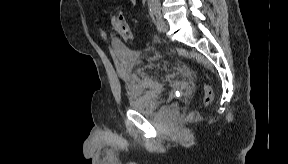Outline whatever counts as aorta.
<instances>
[{
    "instance_id": "1",
    "label": "aorta",
    "mask_w": 288,
    "mask_h": 164,
    "mask_svg": "<svg viewBox=\"0 0 288 164\" xmlns=\"http://www.w3.org/2000/svg\"><path fill=\"white\" fill-rule=\"evenodd\" d=\"M148 6L150 10H153L154 6H156V8H160V2L159 0H148Z\"/></svg>"
}]
</instances>
